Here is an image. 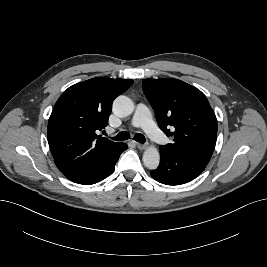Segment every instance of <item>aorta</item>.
I'll return each instance as SVG.
<instances>
[{
	"label": "aorta",
	"mask_w": 267,
	"mask_h": 267,
	"mask_svg": "<svg viewBox=\"0 0 267 267\" xmlns=\"http://www.w3.org/2000/svg\"><path fill=\"white\" fill-rule=\"evenodd\" d=\"M133 101L124 95L118 96L113 102V112L118 117H126L133 113L134 111ZM160 162V154L157 148L148 147L143 153V163L150 169L155 170L158 168Z\"/></svg>",
	"instance_id": "762f6f07"
}]
</instances>
